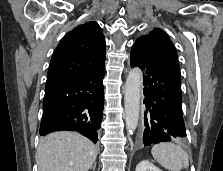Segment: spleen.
I'll use <instances>...</instances> for the list:
<instances>
[{
  "label": "spleen",
  "mask_w": 223,
  "mask_h": 171,
  "mask_svg": "<svg viewBox=\"0 0 223 171\" xmlns=\"http://www.w3.org/2000/svg\"><path fill=\"white\" fill-rule=\"evenodd\" d=\"M151 154L161 166L169 171H180L189 166L188 154L177 144H156L152 147Z\"/></svg>",
  "instance_id": "3e777b00"
}]
</instances>
